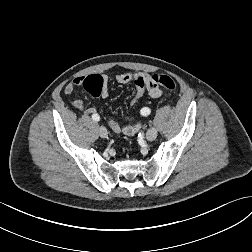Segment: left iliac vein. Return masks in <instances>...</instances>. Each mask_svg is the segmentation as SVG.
<instances>
[{
    "instance_id": "left-iliac-vein-1",
    "label": "left iliac vein",
    "mask_w": 252,
    "mask_h": 252,
    "mask_svg": "<svg viewBox=\"0 0 252 252\" xmlns=\"http://www.w3.org/2000/svg\"><path fill=\"white\" fill-rule=\"evenodd\" d=\"M158 132L155 128H150L146 133V139L148 141H153L156 139Z\"/></svg>"
}]
</instances>
